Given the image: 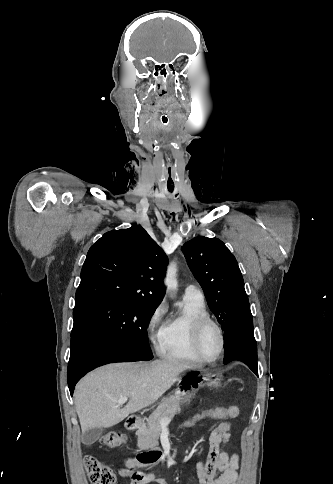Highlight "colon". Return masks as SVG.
Masks as SVG:
<instances>
[{
  "label": "colon",
  "mask_w": 333,
  "mask_h": 484,
  "mask_svg": "<svg viewBox=\"0 0 333 484\" xmlns=\"http://www.w3.org/2000/svg\"><path fill=\"white\" fill-rule=\"evenodd\" d=\"M227 416V407H212L194 416L187 418L177 426L178 431L189 430L207 420H224ZM124 436L118 432L105 433L100 442L110 448L118 447L124 443ZM84 463L91 484H114L115 475L110 467L102 464L92 456H86Z\"/></svg>",
  "instance_id": "1"
}]
</instances>
